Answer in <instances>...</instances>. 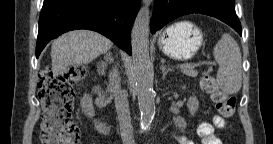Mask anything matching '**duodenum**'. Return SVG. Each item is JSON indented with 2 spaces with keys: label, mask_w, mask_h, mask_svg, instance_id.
Returning <instances> with one entry per match:
<instances>
[{
  "label": "duodenum",
  "mask_w": 273,
  "mask_h": 144,
  "mask_svg": "<svg viewBox=\"0 0 273 144\" xmlns=\"http://www.w3.org/2000/svg\"><path fill=\"white\" fill-rule=\"evenodd\" d=\"M93 124L95 129L102 135H108L111 133L110 123L101 116H96L93 118Z\"/></svg>",
  "instance_id": "1"
}]
</instances>
